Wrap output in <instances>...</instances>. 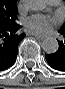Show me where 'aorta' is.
<instances>
[{"instance_id":"1","label":"aorta","mask_w":65,"mask_h":89,"mask_svg":"<svg viewBox=\"0 0 65 89\" xmlns=\"http://www.w3.org/2000/svg\"><path fill=\"white\" fill-rule=\"evenodd\" d=\"M29 7L31 10L35 12L44 11L47 8V1L46 0H30ZM59 48L58 41L53 37H48L43 40L42 42V49L47 54L55 53Z\"/></svg>"}]
</instances>
